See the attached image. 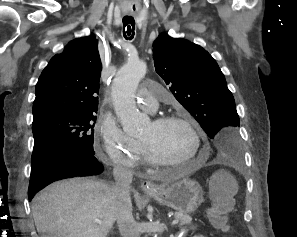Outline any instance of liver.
Returning <instances> with one entry per match:
<instances>
[{
	"instance_id": "obj_1",
	"label": "liver",
	"mask_w": 297,
	"mask_h": 237,
	"mask_svg": "<svg viewBox=\"0 0 297 237\" xmlns=\"http://www.w3.org/2000/svg\"><path fill=\"white\" fill-rule=\"evenodd\" d=\"M112 188L80 177L51 184L33 201L38 233L41 237H106L119 216Z\"/></svg>"
}]
</instances>
